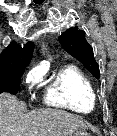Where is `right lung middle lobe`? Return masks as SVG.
Wrapping results in <instances>:
<instances>
[{
  "mask_svg": "<svg viewBox=\"0 0 117 136\" xmlns=\"http://www.w3.org/2000/svg\"><path fill=\"white\" fill-rule=\"evenodd\" d=\"M24 68L25 66L0 68V94L3 92L17 94Z\"/></svg>",
  "mask_w": 117,
  "mask_h": 136,
  "instance_id": "obj_1",
  "label": "right lung middle lobe"
}]
</instances>
